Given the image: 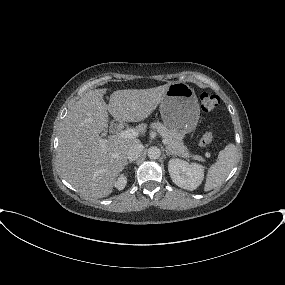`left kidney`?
I'll list each match as a JSON object with an SVG mask.
<instances>
[{"mask_svg": "<svg viewBox=\"0 0 285 285\" xmlns=\"http://www.w3.org/2000/svg\"><path fill=\"white\" fill-rule=\"evenodd\" d=\"M168 171L172 181L180 188L193 191L204 179V167L198 163H188L173 158L168 162Z\"/></svg>", "mask_w": 285, "mask_h": 285, "instance_id": "1", "label": "left kidney"}]
</instances>
